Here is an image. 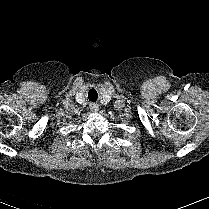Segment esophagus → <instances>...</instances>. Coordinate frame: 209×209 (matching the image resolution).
I'll use <instances>...</instances> for the list:
<instances>
[{
    "instance_id": "34e87169",
    "label": "esophagus",
    "mask_w": 209,
    "mask_h": 209,
    "mask_svg": "<svg viewBox=\"0 0 209 209\" xmlns=\"http://www.w3.org/2000/svg\"><path fill=\"white\" fill-rule=\"evenodd\" d=\"M89 107H90V110H91L92 112H97V111L99 110V106H98V104H96V103H90V104H89Z\"/></svg>"
}]
</instances>
